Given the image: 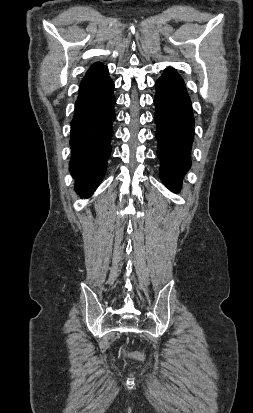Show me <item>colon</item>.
I'll list each match as a JSON object with an SVG mask.
<instances>
[{"mask_svg":"<svg viewBox=\"0 0 253 413\" xmlns=\"http://www.w3.org/2000/svg\"><path fill=\"white\" fill-rule=\"evenodd\" d=\"M121 353L124 356H128V357L135 358V359H138V360H143V355L141 353H138V352L130 354V353H127L124 350H122Z\"/></svg>","mask_w":253,"mask_h":413,"instance_id":"1","label":"colon"}]
</instances>
